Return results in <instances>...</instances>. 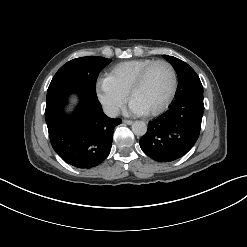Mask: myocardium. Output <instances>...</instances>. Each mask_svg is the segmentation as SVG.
Masks as SVG:
<instances>
[{"label": "myocardium", "mask_w": 247, "mask_h": 247, "mask_svg": "<svg viewBox=\"0 0 247 247\" xmlns=\"http://www.w3.org/2000/svg\"><path fill=\"white\" fill-rule=\"evenodd\" d=\"M159 64H164L166 65L172 74V85H171V89L169 91L168 96L166 97V99L164 100V102L159 105L158 107H156L155 109L146 112V114L148 115H156L161 113L162 111H164L168 105L171 103L176 90H177V86H178V76H177V72L175 67L173 66L172 63H170L167 60H156L153 63H151L150 65H148L146 68H144L141 73L137 76V78L134 80V82L131 84L129 90H128V94L129 97L132 99V95L133 93L142 86V84L144 83L146 77L148 76L149 72L157 65Z\"/></svg>", "instance_id": "myocardium-1"}]
</instances>
